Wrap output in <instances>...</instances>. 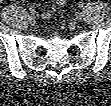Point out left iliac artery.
Masks as SVG:
<instances>
[{
  "label": "left iliac artery",
  "mask_w": 111,
  "mask_h": 106,
  "mask_svg": "<svg viewBox=\"0 0 111 106\" xmlns=\"http://www.w3.org/2000/svg\"><path fill=\"white\" fill-rule=\"evenodd\" d=\"M79 7H80V8H83V7H84V5H83V4H79Z\"/></svg>",
  "instance_id": "44dca946"
}]
</instances>
